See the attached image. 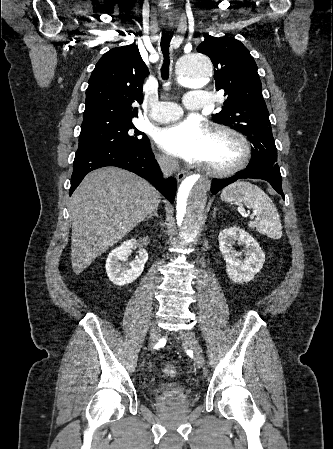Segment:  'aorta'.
<instances>
[{"label": "aorta", "instance_id": "aorta-1", "mask_svg": "<svg viewBox=\"0 0 333 449\" xmlns=\"http://www.w3.org/2000/svg\"><path fill=\"white\" fill-rule=\"evenodd\" d=\"M179 61L178 81L185 87L201 88L211 79L213 65L207 55L194 52ZM211 187L208 178L199 175L187 176L180 184L177 201V221L183 241L192 243L196 239Z\"/></svg>", "mask_w": 333, "mask_h": 449}]
</instances>
